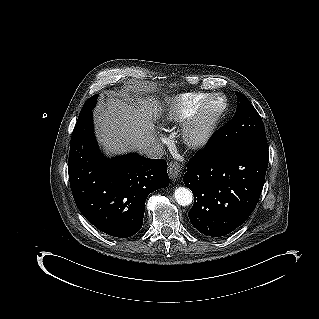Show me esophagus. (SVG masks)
<instances>
[{
  "mask_svg": "<svg viewBox=\"0 0 319 319\" xmlns=\"http://www.w3.org/2000/svg\"><path fill=\"white\" fill-rule=\"evenodd\" d=\"M181 166L178 162L172 161L168 165V174L169 177L175 180L180 174Z\"/></svg>",
  "mask_w": 319,
  "mask_h": 319,
  "instance_id": "1",
  "label": "esophagus"
}]
</instances>
